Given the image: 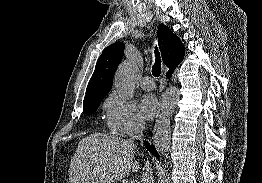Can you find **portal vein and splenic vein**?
<instances>
[{
  "label": "portal vein and splenic vein",
  "mask_w": 262,
  "mask_h": 183,
  "mask_svg": "<svg viewBox=\"0 0 262 183\" xmlns=\"http://www.w3.org/2000/svg\"><path fill=\"white\" fill-rule=\"evenodd\" d=\"M129 183H135V181H134V180H131Z\"/></svg>",
  "instance_id": "portal-vein-and-splenic-vein-1"
}]
</instances>
